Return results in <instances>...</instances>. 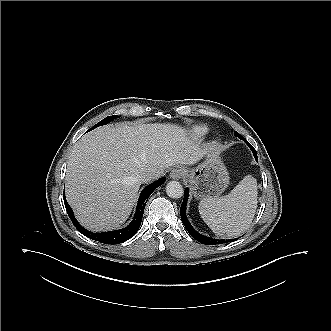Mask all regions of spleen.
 I'll return each mask as SVG.
<instances>
[{"instance_id": "1", "label": "spleen", "mask_w": 331, "mask_h": 331, "mask_svg": "<svg viewBox=\"0 0 331 331\" xmlns=\"http://www.w3.org/2000/svg\"><path fill=\"white\" fill-rule=\"evenodd\" d=\"M199 213L217 235L237 237L250 226L257 208V182L246 175L228 195L201 199Z\"/></svg>"}]
</instances>
